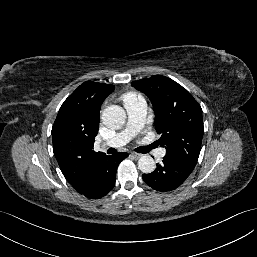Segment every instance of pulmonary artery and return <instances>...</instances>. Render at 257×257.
<instances>
[{
	"label": "pulmonary artery",
	"mask_w": 257,
	"mask_h": 257,
	"mask_svg": "<svg viewBox=\"0 0 257 257\" xmlns=\"http://www.w3.org/2000/svg\"><path fill=\"white\" fill-rule=\"evenodd\" d=\"M125 109L128 115V122L125 129L117 133L114 137L103 142V147L118 148L124 146L143 126L144 119L147 113L146 102L143 99H133L127 101L125 103ZM164 155V148H159L155 152V156L157 158H162Z\"/></svg>",
	"instance_id": "pulmonary-artery-1"
}]
</instances>
